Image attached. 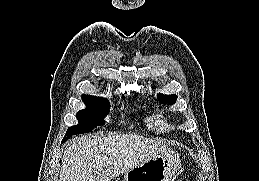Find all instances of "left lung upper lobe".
I'll use <instances>...</instances> for the list:
<instances>
[{
	"label": "left lung upper lobe",
	"instance_id": "left-lung-upper-lobe-1",
	"mask_svg": "<svg viewBox=\"0 0 259 181\" xmlns=\"http://www.w3.org/2000/svg\"><path fill=\"white\" fill-rule=\"evenodd\" d=\"M157 97L164 101L165 103H171L174 104L176 102L177 96L175 94L172 95H164V94H158Z\"/></svg>",
	"mask_w": 259,
	"mask_h": 181
}]
</instances>
